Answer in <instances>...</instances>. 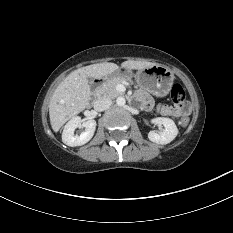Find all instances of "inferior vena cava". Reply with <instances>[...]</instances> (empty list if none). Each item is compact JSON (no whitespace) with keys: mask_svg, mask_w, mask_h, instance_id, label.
Returning <instances> with one entry per match:
<instances>
[{"mask_svg":"<svg viewBox=\"0 0 233 233\" xmlns=\"http://www.w3.org/2000/svg\"><path fill=\"white\" fill-rule=\"evenodd\" d=\"M112 104V100L107 98H100L94 102V109L98 112L108 109Z\"/></svg>","mask_w":233,"mask_h":233,"instance_id":"602c4592","label":"inferior vena cava"}]
</instances>
